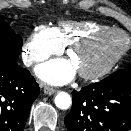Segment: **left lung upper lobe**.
<instances>
[{"mask_svg": "<svg viewBox=\"0 0 131 131\" xmlns=\"http://www.w3.org/2000/svg\"><path fill=\"white\" fill-rule=\"evenodd\" d=\"M104 81H129L131 82V65L120 69L104 79Z\"/></svg>", "mask_w": 131, "mask_h": 131, "instance_id": "obj_1", "label": "left lung upper lobe"}]
</instances>
